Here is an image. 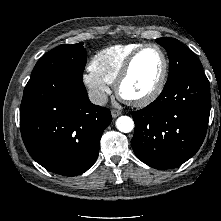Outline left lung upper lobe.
Returning <instances> with one entry per match:
<instances>
[{"instance_id": "5c2ea615", "label": "left lung upper lobe", "mask_w": 221, "mask_h": 221, "mask_svg": "<svg viewBox=\"0 0 221 221\" xmlns=\"http://www.w3.org/2000/svg\"><path fill=\"white\" fill-rule=\"evenodd\" d=\"M156 41L166 49L169 56V74L166 84L189 71L203 69L197 57L177 39L159 38Z\"/></svg>"}]
</instances>
